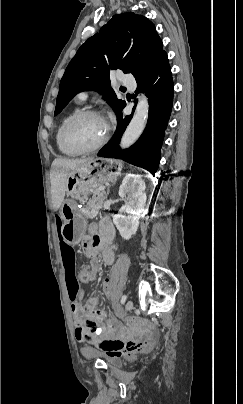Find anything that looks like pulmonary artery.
I'll use <instances>...</instances> for the list:
<instances>
[{"instance_id": "obj_1", "label": "pulmonary artery", "mask_w": 243, "mask_h": 404, "mask_svg": "<svg viewBox=\"0 0 243 404\" xmlns=\"http://www.w3.org/2000/svg\"><path fill=\"white\" fill-rule=\"evenodd\" d=\"M134 87H135L134 85L129 86L130 89H133ZM87 98H88V93L85 92V91H84V92H81V93L78 95V99L81 100V101H85Z\"/></svg>"}]
</instances>
